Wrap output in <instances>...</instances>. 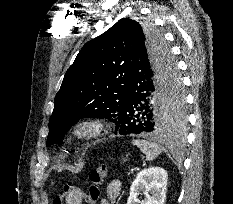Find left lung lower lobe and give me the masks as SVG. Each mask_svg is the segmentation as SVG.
Instances as JSON below:
<instances>
[{
	"mask_svg": "<svg viewBox=\"0 0 233 204\" xmlns=\"http://www.w3.org/2000/svg\"><path fill=\"white\" fill-rule=\"evenodd\" d=\"M154 60L149 49L141 48L133 62L128 93L120 107L119 134L154 133L161 130L160 106L168 90H172L181 79L175 64L168 82L161 71L162 55L156 58V66ZM183 126L184 123L164 132L176 131L181 137Z\"/></svg>",
	"mask_w": 233,
	"mask_h": 204,
	"instance_id": "left-lung-lower-lobe-1",
	"label": "left lung lower lobe"
}]
</instances>
